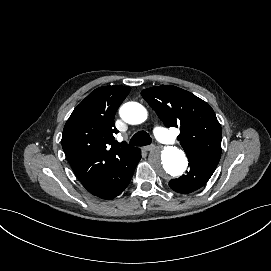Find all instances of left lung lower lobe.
I'll use <instances>...</instances> for the list:
<instances>
[{
	"label": "left lung lower lobe",
	"mask_w": 271,
	"mask_h": 271,
	"mask_svg": "<svg viewBox=\"0 0 271 271\" xmlns=\"http://www.w3.org/2000/svg\"><path fill=\"white\" fill-rule=\"evenodd\" d=\"M188 160L190 170L185 175L178 179H172L169 182L172 190L182 194H188L203 187L214 173L218 164L209 157Z\"/></svg>",
	"instance_id": "0a47b994"
}]
</instances>
